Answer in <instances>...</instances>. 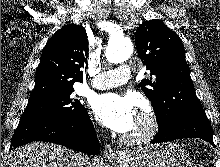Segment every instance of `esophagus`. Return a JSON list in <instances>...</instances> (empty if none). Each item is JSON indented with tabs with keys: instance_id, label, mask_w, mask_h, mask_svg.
<instances>
[{
	"instance_id": "34e87169",
	"label": "esophagus",
	"mask_w": 220,
	"mask_h": 167,
	"mask_svg": "<svg viewBox=\"0 0 220 167\" xmlns=\"http://www.w3.org/2000/svg\"><path fill=\"white\" fill-rule=\"evenodd\" d=\"M104 156L109 160H117L120 158V154L110 144L105 145Z\"/></svg>"
}]
</instances>
